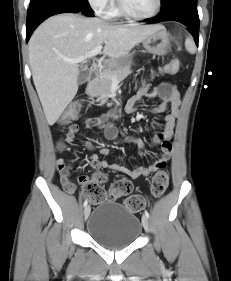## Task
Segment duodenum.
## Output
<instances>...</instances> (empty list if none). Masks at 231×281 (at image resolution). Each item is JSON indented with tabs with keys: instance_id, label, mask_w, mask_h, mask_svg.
Here are the masks:
<instances>
[{
	"instance_id": "410a0bca",
	"label": "duodenum",
	"mask_w": 231,
	"mask_h": 281,
	"mask_svg": "<svg viewBox=\"0 0 231 281\" xmlns=\"http://www.w3.org/2000/svg\"><path fill=\"white\" fill-rule=\"evenodd\" d=\"M98 74H99V71H97V70L93 72L92 78L90 79V83H93L97 79Z\"/></svg>"
}]
</instances>
